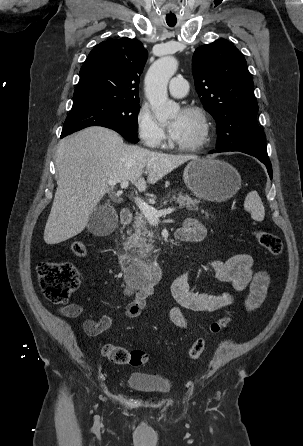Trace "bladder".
Wrapping results in <instances>:
<instances>
[{"label": "bladder", "instance_id": "obj_1", "mask_svg": "<svg viewBox=\"0 0 303 446\" xmlns=\"http://www.w3.org/2000/svg\"><path fill=\"white\" fill-rule=\"evenodd\" d=\"M126 384L131 389L145 393L161 394L170 389V381L167 377L142 371L130 373Z\"/></svg>", "mask_w": 303, "mask_h": 446}]
</instances>
